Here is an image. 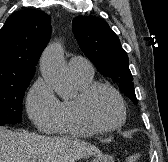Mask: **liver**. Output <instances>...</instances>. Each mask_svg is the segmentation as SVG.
I'll list each match as a JSON object with an SVG mask.
<instances>
[{
    "mask_svg": "<svg viewBox=\"0 0 168 162\" xmlns=\"http://www.w3.org/2000/svg\"><path fill=\"white\" fill-rule=\"evenodd\" d=\"M98 154L96 146L79 139L0 128V162H76Z\"/></svg>",
    "mask_w": 168,
    "mask_h": 162,
    "instance_id": "obj_1",
    "label": "liver"
}]
</instances>
